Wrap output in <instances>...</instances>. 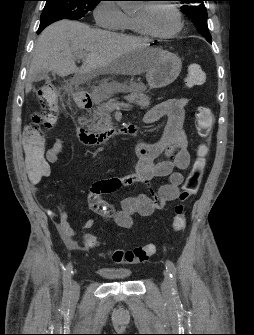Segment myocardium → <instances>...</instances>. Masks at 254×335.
<instances>
[{"mask_svg": "<svg viewBox=\"0 0 254 335\" xmlns=\"http://www.w3.org/2000/svg\"><path fill=\"white\" fill-rule=\"evenodd\" d=\"M144 5L146 7H152L154 5L168 6L174 12V14L176 16L177 24H176V27L168 33H158V32H155V31H152L151 29H149L148 26L142 20H140L137 17H134L135 21H136L138 27L140 28V30L142 31V33H144L145 35H148L150 37L157 38V39H170V38L175 37L176 35H178L182 31V29L184 27L182 14H181L179 8L175 4H173L171 2H166V1H157V2L144 4Z\"/></svg>", "mask_w": 254, "mask_h": 335, "instance_id": "obj_1", "label": "myocardium"}]
</instances>
